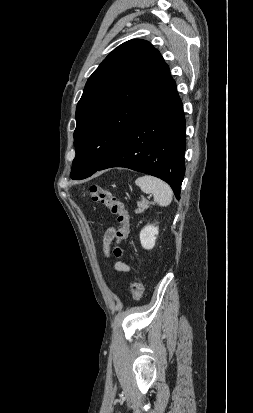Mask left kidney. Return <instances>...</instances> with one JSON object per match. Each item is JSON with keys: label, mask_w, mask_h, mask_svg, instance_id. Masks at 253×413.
<instances>
[{"label": "left kidney", "mask_w": 253, "mask_h": 413, "mask_svg": "<svg viewBox=\"0 0 253 413\" xmlns=\"http://www.w3.org/2000/svg\"><path fill=\"white\" fill-rule=\"evenodd\" d=\"M159 233L158 227L154 225L145 226L140 232V241L144 249L150 250L155 246V241Z\"/></svg>", "instance_id": "obj_1"}]
</instances>
